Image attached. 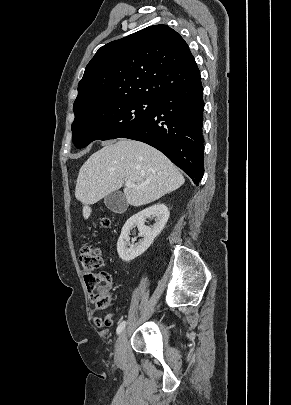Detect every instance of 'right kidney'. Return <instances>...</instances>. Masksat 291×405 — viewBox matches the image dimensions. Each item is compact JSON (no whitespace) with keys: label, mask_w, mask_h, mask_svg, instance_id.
Returning <instances> with one entry per match:
<instances>
[{"label":"right kidney","mask_w":291,"mask_h":405,"mask_svg":"<svg viewBox=\"0 0 291 405\" xmlns=\"http://www.w3.org/2000/svg\"><path fill=\"white\" fill-rule=\"evenodd\" d=\"M169 210L164 204H155L130 217L124 224L120 237L117 242V252L119 257L129 262L142 255L153 243L155 237L163 230L169 218ZM147 218H154L155 223L152 227L145 226ZM137 227L140 237H143L138 243L129 241L130 231Z\"/></svg>","instance_id":"right-kidney-1"}]
</instances>
